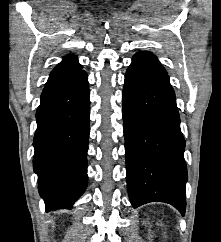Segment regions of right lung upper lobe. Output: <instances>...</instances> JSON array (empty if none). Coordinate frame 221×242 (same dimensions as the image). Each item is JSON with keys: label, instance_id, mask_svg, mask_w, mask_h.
I'll use <instances>...</instances> for the list:
<instances>
[{"label": "right lung upper lobe", "instance_id": "cb5924a9", "mask_svg": "<svg viewBox=\"0 0 221 242\" xmlns=\"http://www.w3.org/2000/svg\"><path fill=\"white\" fill-rule=\"evenodd\" d=\"M81 69L82 65L78 63L77 57L68 55L52 70L46 84L68 77Z\"/></svg>", "mask_w": 221, "mask_h": 242}]
</instances>
